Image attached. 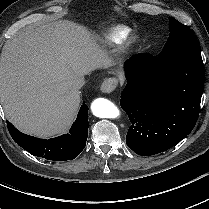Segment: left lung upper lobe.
Wrapping results in <instances>:
<instances>
[{
	"instance_id": "5c2ea615",
	"label": "left lung upper lobe",
	"mask_w": 209,
	"mask_h": 209,
	"mask_svg": "<svg viewBox=\"0 0 209 209\" xmlns=\"http://www.w3.org/2000/svg\"><path fill=\"white\" fill-rule=\"evenodd\" d=\"M169 31L170 36L162 52L158 55L159 57H170L199 47L198 40L192 30L172 17L169 18Z\"/></svg>"
}]
</instances>
